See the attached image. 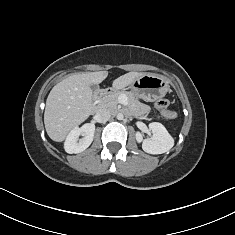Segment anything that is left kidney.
Instances as JSON below:
<instances>
[{
	"label": "left kidney",
	"mask_w": 235,
	"mask_h": 235,
	"mask_svg": "<svg viewBox=\"0 0 235 235\" xmlns=\"http://www.w3.org/2000/svg\"><path fill=\"white\" fill-rule=\"evenodd\" d=\"M149 128L153 133L151 138L143 139L141 133H136V140L137 142H142V149L145 152L162 154L173 147L174 140L161 123L152 122L149 124Z\"/></svg>",
	"instance_id": "5707ae66"
}]
</instances>
